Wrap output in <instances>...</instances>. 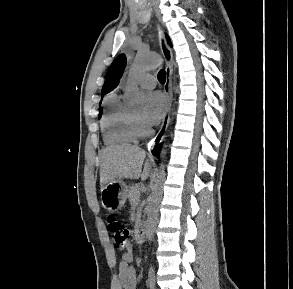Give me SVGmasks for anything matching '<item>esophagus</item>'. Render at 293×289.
Segmentation results:
<instances>
[{"label": "esophagus", "mask_w": 293, "mask_h": 289, "mask_svg": "<svg viewBox=\"0 0 293 289\" xmlns=\"http://www.w3.org/2000/svg\"><path fill=\"white\" fill-rule=\"evenodd\" d=\"M157 29H158L159 45L161 48L162 55L166 62V82L164 85V93L167 97V110L163 117L162 124L157 135L148 145L149 157L152 156L151 150L153 146L156 143L162 142L163 139L165 138L168 125L170 122V113H171V107H172V101H173V93H172L173 54H172L171 48L169 47L166 41L164 30L160 24H157Z\"/></svg>", "instance_id": "obj_1"}]
</instances>
